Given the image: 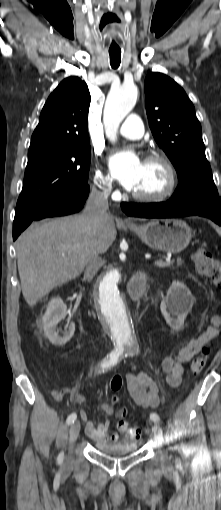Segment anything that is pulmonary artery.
Segmentation results:
<instances>
[{
  "mask_svg": "<svg viewBox=\"0 0 221 510\" xmlns=\"http://www.w3.org/2000/svg\"><path fill=\"white\" fill-rule=\"evenodd\" d=\"M119 134L131 140L141 138L144 134V126L141 118L136 114L129 115L121 126Z\"/></svg>",
  "mask_w": 221,
  "mask_h": 510,
  "instance_id": "1",
  "label": "pulmonary artery"
}]
</instances>
